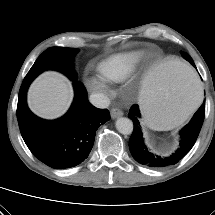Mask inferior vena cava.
Instances as JSON below:
<instances>
[{
	"instance_id": "1",
	"label": "inferior vena cava",
	"mask_w": 215,
	"mask_h": 215,
	"mask_svg": "<svg viewBox=\"0 0 215 215\" xmlns=\"http://www.w3.org/2000/svg\"><path fill=\"white\" fill-rule=\"evenodd\" d=\"M89 101L97 108H107L110 105V99L102 93H92Z\"/></svg>"
}]
</instances>
